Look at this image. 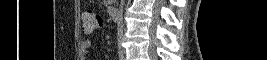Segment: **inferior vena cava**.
<instances>
[{"label": "inferior vena cava", "mask_w": 267, "mask_h": 60, "mask_svg": "<svg viewBox=\"0 0 267 60\" xmlns=\"http://www.w3.org/2000/svg\"><path fill=\"white\" fill-rule=\"evenodd\" d=\"M123 13V8L120 7V10L118 12V17H119V20H118V35H122L123 34V17H122V14ZM120 53H123L122 50H120Z\"/></svg>", "instance_id": "inferior-vena-cava-1"}]
</instances>
